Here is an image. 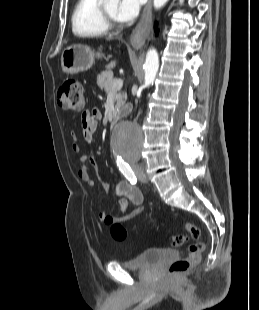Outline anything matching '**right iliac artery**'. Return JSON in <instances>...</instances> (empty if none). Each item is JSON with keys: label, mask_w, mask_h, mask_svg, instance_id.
Returning <instances> with one entry per match:
<instances>
[{"label": "right iliac artery", "mask_w": 259, "mask_h": 310, "mask_svg": "<svg viewBox=\"0 0 259 310\" xmlns=\"http://www.w3.org/2000/svg\"><path fill=\"white\" fill-rule=\"evenodd\" d=\"M117 166L121 173L130 181L131 184H136V176L127 163H125L123 160H117Z\"/></svg>", "instance_id": "right-iliac-artery-1"}]
</instances>
